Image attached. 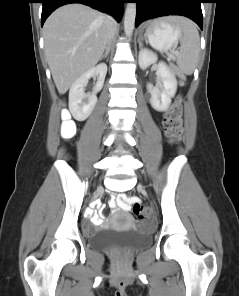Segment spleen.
<instances>
[{
  "instance_id": "3e777b00",
  "label": "spleen",
  "mask_w": 239,
  "mask_h": 296,
  "mask_svg": "<svg viewBox=\"0 0 239 296\" xmlns=\"http://www.w3.org/2000/svg\"><path fill=\"white\" fill-rule=\"evenodd\" d=\"M167 20L183 30L181 46L177 54V65L182 73L191 75L195 69L200 49L198 30L192 22L180 17H170Z\"/></svg>"
}]
</instances>
